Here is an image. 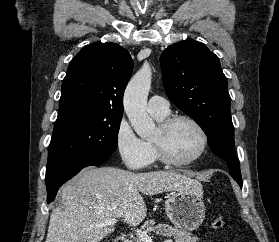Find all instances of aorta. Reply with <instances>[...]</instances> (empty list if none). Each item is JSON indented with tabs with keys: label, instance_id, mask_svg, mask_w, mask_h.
<instances>
[{
	"label": "aorta",
	"instance_id": "1",
	"mask_svg": "<svg viewBox=\"0 0 279 242\" xmlns=\"http://www.w3.org/2000/svg\"><path fill=\"white\" fill-rule=\"evenodd\" d=\"M151 69L143 66L130 80L124 92V110L131 126L142 139L155 131V123L147 113V96L151 87Z\"/></svg>",
	"mask_w": 279,
	"mask_h": 242
}]
</instances>
